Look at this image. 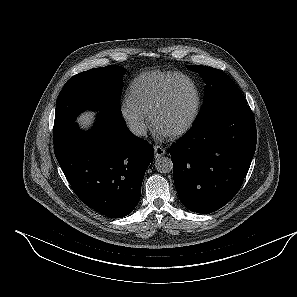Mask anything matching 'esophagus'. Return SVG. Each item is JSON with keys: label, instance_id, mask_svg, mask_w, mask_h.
I'll use <instances>...</instances> for the list:
<instances>
[{"label": "esophagus", "instance_id": "1", "mask_svg": "<svg viewBox=\"0 0 297 297\" xmlns=\"http://www.w3.org/2000/svg\"><path fill=\"white\" fill-rule=\"evenodd\" d=\"M154 154H155V157L158 158V157H161L163 155L166 154V151L164 148L158 146V145H155L154 146Z\"/></svg>", "mask_w": 297, "mask_h": 297}]
</instances>
